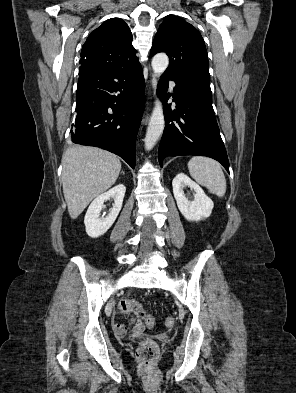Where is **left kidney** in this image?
<instances>
[{"label": "left kidney", "mask_w": 296, "mask_h": 393, "mask_svg": "<svg viewBox=\"0 0 296 393\" xmlns=\"http://www.w3.org/2000/svg\"><path fill=\"white\" fill-rule=\"evenodd\" d=\"M173 194L182 215L189 221H200L208 218L213 209V201L203 189L184 173H179L172 181ZM188 186L195 191L194 199L186 198L183 189Z\"/></svg>", "instance_id": "obj_1"}]
</instances>
